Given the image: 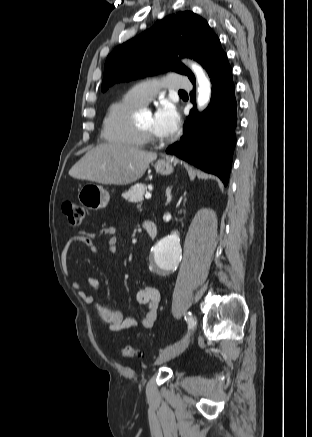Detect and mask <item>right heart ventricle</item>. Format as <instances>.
<instances>
[{
    "label": "right heart ventricle",
    "instance_id": "e07e8e85",
    "mask_svg": "<svg viewBox=\"0 0 312 437\" xmlns=\"http://www.w3.org/2000/svg\"><path fill=\"white\" fill-rule=\"evenodd\" d=\"M143 105L126 94L110 105L103 120L102 135L112 144L127 147H142L145 142L135 126L133 114Z\"/></svg>",
    "mask_w": 312,
    "mask_h": 437
}]
</instances>
